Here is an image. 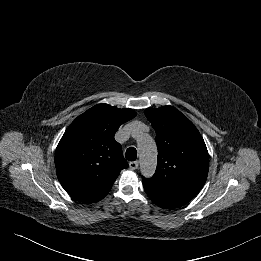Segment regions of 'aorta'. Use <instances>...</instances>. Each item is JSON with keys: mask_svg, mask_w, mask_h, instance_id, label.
Wrapping results in <instances>:
<instances>
[{"mask_svg": "<svg viewBox=\"0 0 261 261\" xmlns=\"http://www.w3.org/2000/svg\"><path fill=\"white\" fill-rule=\"evenodd\" d=\"M137 141L141 173L149 178L156 169L157 147L152 137L148 134H140Z\"/></svg>", "mask_w": 261, "mask_h": 261, "instance_id": "762f6f07", "label": "aorta"}]
</instances>
